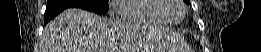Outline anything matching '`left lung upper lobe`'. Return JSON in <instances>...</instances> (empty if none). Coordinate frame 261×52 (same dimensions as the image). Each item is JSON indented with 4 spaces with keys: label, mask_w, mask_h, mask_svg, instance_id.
Instances as JSON below:
<instances>
[{
    "label": "left lung upper lobe",
    "mask_w": 261,
    "mask_h": 52,
    "mask_svg": "<svg viewBox=\"0 0 261 52\" xmlns=\"http://www.w3.org/2000/svg\"><path fill=\"white\" fill-rule=\"evenodd\" d=\"M187 4H190V0H184Z\"/></svg>",
    "instance_id": "left-lung-upper-lobe-1"
}]
</instances>
